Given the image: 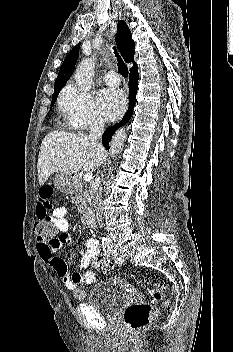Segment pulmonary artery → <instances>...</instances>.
I'll return each instance as SVG.
<instances>
[{
    "label": "pulmonary artery",
    "mask_w": 233,
    "mask_h": 352,
    "mask_svg": "<svg viewBox=\"0 0 233 352\" xmlns=\"http://www.w3.org/2000/svg\"><path fill=\"white\" fill-rule=\"evenodd\" d=\"M106 84L110 86H117L120 82L118 74L115 71H109L104 75Z\"/></svg>",
    "instance_id": "1"
}]
</instances>
